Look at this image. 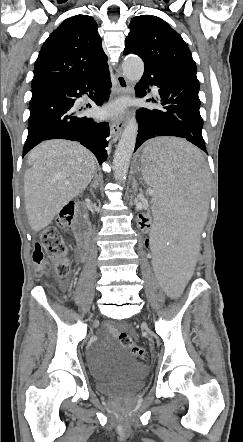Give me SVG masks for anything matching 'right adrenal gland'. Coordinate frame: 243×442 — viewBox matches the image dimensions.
Instances as JSON below:
<instances>
[{
	"label": "right adrenal gland",
	"instance_id": "1",
	"mask_svg": "<svg viewBox=\"0 0 243 442\" xmlns=\"http://www.w3.org/2000/svg\"><path fill=\"white\" fill-rule=\"evenodd\" d=\"M98 185H99V179H98V175H97V170H95L94 178H93V181L91 183V191L93 189H96L98 187Z\"/></svg>",
	"mask_w": 243,
	"mask_h": 442
}]
</instances>
